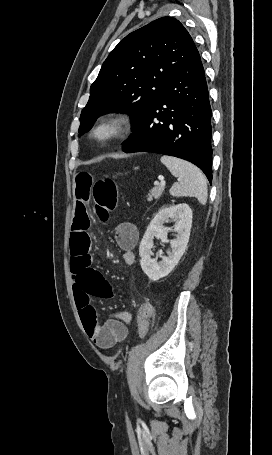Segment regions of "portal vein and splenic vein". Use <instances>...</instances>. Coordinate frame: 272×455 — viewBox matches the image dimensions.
<instances>
[{
    "label": "portal vein and splenic vein",
    "instance_id": "18ae733b",
    "mask_svg": "<svg viewBox=\"0 0 272 455\" xmlns=\"http://www.w3.org/2000/svg\"><path fill=\"white\" fill-rule=\"evenodd\" d=\"M160 186H161V187H164V186H165V181H164V180H161Z\"/></svg>",
    "mask_w": 272,
    "mask_h": 455
}]
</instances>
